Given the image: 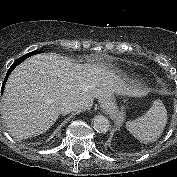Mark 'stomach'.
Segmentation results:
<instances>
[{
  "instance_id": "stomach-1",
  "label": "stomach",
  "mask_w": 177,
  "mask_h": 177,
  "mask_svg": "<svg viewBox=\"0 0 177 177\" xmlns=\"http://www.w3.org/2000/svg\"><path fill=\"white\" fill-rule=\"evenodd\" d=\"M99 103L104 110H106L110 113H112L116 108L115 97L114 96L104 97L103 99H101L99 101Z\"/></svg>"
}]
</instances>
